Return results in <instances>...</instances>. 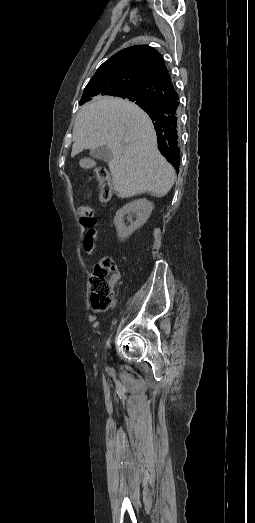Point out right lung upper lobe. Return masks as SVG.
Returning <instances> with one entry per match:
<instances>
[{
    "label": "right lung upper lobe",
    "mask_w": 255,
    "mask_h": 523,
    "mask_svg": "<svg viewBox=\"0 0 255 523\" xmlns=\"http://www.w3.org/2000/svg\"><path fill=\"white\" fill-rule=\"evenodd\" d=\"M136 89L153 98L150 108L139 105L154 122L158 148L176 169L179 166L178 95L160 53L146 45L123 49L104 62L84 89L80 104L96 97Z\"/></svg>",
    "instance_id": "1"
}]
</instances>
